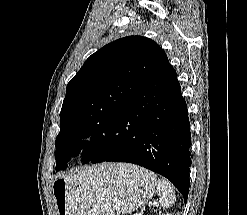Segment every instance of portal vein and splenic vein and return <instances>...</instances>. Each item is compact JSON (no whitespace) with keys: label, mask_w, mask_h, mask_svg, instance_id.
Wrapping results in <instances>:
<instances>
[{"label":"portal vein and splenic vein","mask_w":247,"mask_h":215,"mask_svg":"<svg viewBox=\"0 0 247 215\" xmlns=\"http://www.w3.org/2000/svg\"><path fill=\"white\" fill-rule=\"evenodd\" d=\"M155 204H156L155 202H154V203L150 202V203H149V206L155 205ZM135 215H137V214H135Z\"/></svg>","instance_id":"18ae733b"}]
</instances>
